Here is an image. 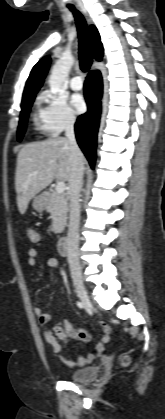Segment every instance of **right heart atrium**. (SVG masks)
<instances>
[{"instance_id":"obj_1","label":"right heart atrium","mask_w":165,"mask_h":419,"mask_svg":"<svg viewBox=\"0 0 165 419\" xmlns=\"http://www.w3.org/2000/svg\"><path fill=\"white\" fill-rule=\"evenodd\" d=\"M39 120L45 133L58 134L70 129L76 122V115L63 96L45 91L39 96Z\"/></svg>"}]
</instances>
